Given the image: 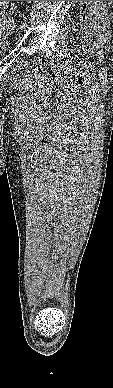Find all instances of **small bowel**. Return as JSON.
<instances>
[{"instance_id": "1", "label": "small bowel", "mask_w": 113, "mask_h": 388, "mask_svg": "<svg viewBox=\"0 0 113 388\" xmlns=\"http://www.w3.org/2000/svg\"><path fill=\"white\" fill-rule=\"evenodd\" d=\"M2 2L5 3V4L2 7L0 6V21L2 20L3 22H8L9 18H8L7 14L5 13V11H4L5 8H6V1H2Z\"/></svg>"}]
</instances>
